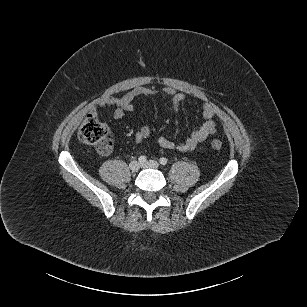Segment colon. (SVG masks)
Returning a JSON list of instances; mask_svg holds the SVG:
<instances>
[{
	"label": "colon",
	"instance_id": "obj_1",
	"mask_svg": "<svg viewBox=\"0 0 307 307\" xmlns=\"http://www.w3.org/2000/svg\"><path fill=\"white\" fill-rule=\"evenodd\" d=\"M78 139L85 145L94 146L102 155L111 153L113 149V136L109 133L106 125L93 114H89L80 126ZM211 146L214 150H220L222 143L215 139L211 142Z\"/></svg>",
	"mask_w": 307,
	"mask_h": 307
}]
</instances>
